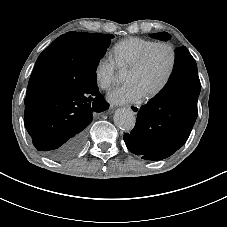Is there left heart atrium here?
Here are the masks:
<instances>
[{
  "mask_svg": "<svg viewBox=\"0 0 227 227\" xmlns=\"http://www.w3.org/2000/svg\"><path fill=\"white\" fill-rule=\"evenodd\" d=\"M146 95L136 84H128L108 93L107 99L115 105L135 104L139 103Z\"/></svg>",
  "mask_w": 227,
  "mask_h": 227,
  "instance_id": "left-heart-atrium-1",
  "label": "left heart atrium"
}]
</instances>
